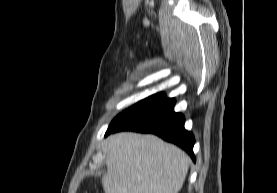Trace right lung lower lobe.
<instances>
[{"mask_svg":"<svg viewBox=\"0 0 277 193\" xmlns=\"http://www.w3.org/2000/svg\"><path fill=\"white\" fill-rule=\"evenodd\" d=\"M174 105V98H167L163 93L153 95L118 115L105 135L124 130L153 133L178 145L195 161V138L185 130V118L181 113L174 112Z\"/></svg>","mask_w":277,"mask_h":193,"instance_id":"right-lung-lower-lobe-1","label":"right lung lower lobe"}]
</instances>
